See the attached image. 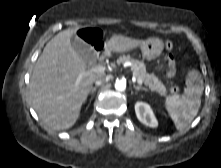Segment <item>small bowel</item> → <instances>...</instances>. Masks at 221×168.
I'll list each match as a JSON object with an SVG mask.
<instances>
[{"label":"small bowel","instance_id":"small-bowel-1","mask_svg":"<svg viewBox=\"0 0 221 168\" xmlns=\"http://www.w3.org/2000/svg\"><path fill=\"white\" fill-rule=\"evenodd\" d=\"M167 64H168V69H167V77H172L174 75L175 69H174V60L170 56L167 58Z\"/></svg>","mask_w":221,"mask_h":168}]
</instances>
